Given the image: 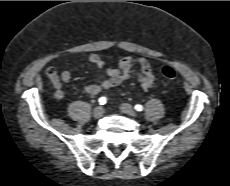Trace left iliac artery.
Masks as SVG:
<instances>
[{
    "mask_svg": "<svg viewBox=\"0 0 230 186\" xmlns=\"http://www.w3.org/2000/svg\"><path fill=\"white\" fill-rule=\"evenodd\" d=\"M135 109H136L137 111H142L144 108H143L142 105L137 104V105H135Z\"/></svg>",
    "mask_w": 230,
    "mask_h": 186,
    "instance_id": "left-iliac-artery-1",
    "label": "left iliac artery"
}]
</instances>
